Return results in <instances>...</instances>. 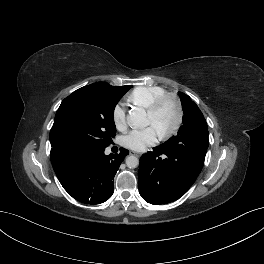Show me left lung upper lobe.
<instances>
[{
	"mask_svg": "<svg viewBox=\"0 0 264 264\" xmlns=\"http://www.w3.org/2000/svg\"><path fill=\"white\" fill-rule=\"evenodd\" d=\"M183 108V125L180 127L177 136L170 138L164 144L165 146H179L185 143L186 139H196L204 133H208L207 123L205 118L191 98L179 92Z\"/></svg>",
	"mask_w": 264,
	"mask_h": 264,
	"instance_id": "obj_1",
	"label": "left lung upper lobe"
}]
</instances>
